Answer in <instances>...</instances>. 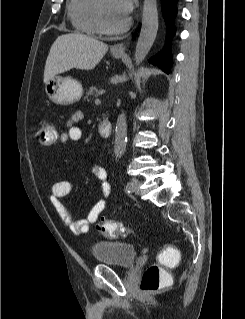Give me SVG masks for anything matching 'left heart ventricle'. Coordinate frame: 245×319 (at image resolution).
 <instances>
[{"mask_svg":"<svg viewBox=\"0 0 245 319\" xmlns=\"http://www.w3.org/2000/svg\"><path fill=\"white\" fill-rule=\"evenodd\" d=\"M102 4L105 19L110 26H119L126 20L117 13L114 0H102Z\"/></svg>","mask_w":245,"mask_h":319,"instance_id":"1","label":"left heart ventricle"}]
</instances>
